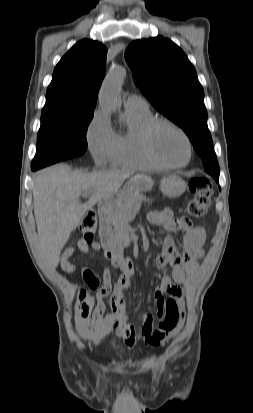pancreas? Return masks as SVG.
Here are the masks:
<instances>
[{
  "mask_svg": "<svg viewBox=\"0 0 253 413\" xmlns=\"http://www.w3.org/2000/svg\"><path fill=\"white\" fill-rule=\"evenodd\" d=\"M146 196L140 193L127 196L123 204L115 210L107 211L104 220L114 229L116 242L120 247H128L131 243L129 220L132 217L134 208H140L145 202Z\"/></svg>",
  "mask_w": 253,
  "mask_h": 413,
  "instance_id": "cf45deb5",
  "label": "pancreas"
}]
</instances>
